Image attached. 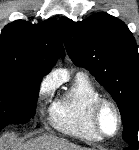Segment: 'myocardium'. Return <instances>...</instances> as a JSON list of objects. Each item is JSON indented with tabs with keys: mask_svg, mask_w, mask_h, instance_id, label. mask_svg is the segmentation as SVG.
I'll use <instances>...</instances> for the list:
<instances>
[{
	"mask_svg": "<svg viewBox=\"0 0 139 150\" xmlns=\"http://www.w3.org/2000/svg\"><path fill=\"white\" fill-rule=\"evenodd\" d=\"M104 106H110L113 109L117 119V129L113 135L105 134L100 126L99 117L101 110L103 109ZM90 118L94 130L101 138H114L120 133L122 129L123 121L119 107L113 100L109 98L100 97L93 103L90 111Z\"/></svg>",
	"mask_w": 139,
	"mask_h": 150,
	"instance_id": "obj_1",
	"label": "myocardium"
}]
</instances>
